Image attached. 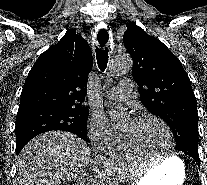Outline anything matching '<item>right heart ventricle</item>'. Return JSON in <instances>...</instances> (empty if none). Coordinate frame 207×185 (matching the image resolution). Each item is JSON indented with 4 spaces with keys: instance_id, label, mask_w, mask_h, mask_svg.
<instances>
[{
    "instance_id": "obj_1",
    "label": "right heart ventricle",
    "mask_w": 207,
    "mask_h": 185,
    "mask_svg": "<svg viewBox=\"0 0 207 185\" xmlns=\"http://www.w3.org/2000/svg\"><path fill=\"white\" fill-rule=\"evenodd\" d=\"M107 155H109L113 160L121 161V160H129L132 158H135L136 156H133L129 154L123 143L122 139L119 138L106 152Z\"/></svg>"
}]
</instances>
